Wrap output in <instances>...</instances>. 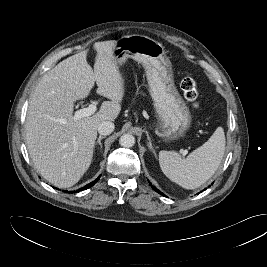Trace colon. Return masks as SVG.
I'll return each instance as SVG.
<instances>
[{
  "mask_svg": "<svg viewBox=\"0 0 267 267\" xmlns=\"http://www.w3.org/2000/svg\"><path fill=\"white\" fill-rule=\"evenodd\" d=\"M181 90L185 99L191 103L193 107H198V87L194 78L190 75H186L181 81Z\"/></svg>",
  "mask_w": 267,
  "mask_h": 267,
  "instance_id": "1",
  "label": "colon"
}]
</instances>
